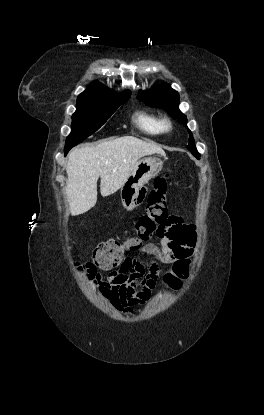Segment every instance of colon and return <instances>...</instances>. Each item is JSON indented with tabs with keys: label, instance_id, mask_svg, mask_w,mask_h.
Listing matches in <instances>:
<instances>
[{
	"label": "colon",
	"instance_id": "colon-1",
	"mask_svg": "<svg viewBox=\"0 0 264 415\" xmlns=\"http://www.w3.org/2000/svg\"><path fill=\"white\" fill-rule=\"evenodd\" d=\"M168 179L169 174L157 178L155 189L149 195L145 213L133 224V233H125L121 238L106 240L95 247L92 259L83 265L87 271L95 274L100 270L117 268L125 262L128 253L137 251L140 245L153 235L163 237L171 233L172 219L168 215ZM186 269V262H176L163 278L167 288L177 290ZM127 293L129 292L125 288L120 289L114 296L115 302L124 301Z\"/></svg>",
	"mask_w": 264,
	"mask_h": 415
}]
</instances>
